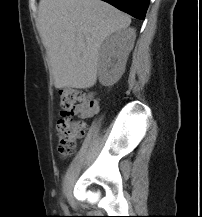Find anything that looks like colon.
I'll return each mask as SVG.
<instances>
[{
    "instance_id": "5ec220e1",
    "label": "colon",
    "mask_w": 202,
    "mask_h": 217,
    "mask_svg": "<svg viewBox=\"0 0 202 217\" xmlns=\"http://www.w3.org/2000/svg\"><path fill=\"white\" fill-rule=\"evenodd\" d=\"M59 95L62 112L56 124L58 151L63 157H69L86 132V124L74 119V109L91 103L92 98L81 90L71 88L61 89Z\"/></svg>"
}]
</instances>
